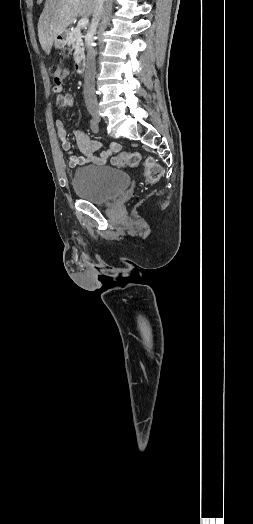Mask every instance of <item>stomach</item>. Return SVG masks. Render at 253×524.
<instances>
[{"instance_id": "1", "label": "stomach", "mask_w": 253, "mask_h": 524, "mask_svg": "<svg viewBox=\"0 0 253 524\" xmlns=\"http://www.w3.org/2000/svg\"><path fill=\"white\" fill-rule=\"evenodd\" d=\"M66 33L59 34L53 42L55 49H63L66 45Z\"/></svg>"}]
</instances>
